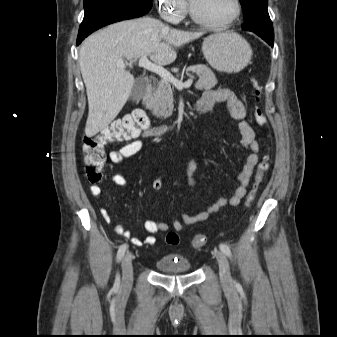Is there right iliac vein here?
Returning <instances> with one entry per match:
<instances>
[{"instance_id": "right-iliac-vein-1", "label": "right iliac vein", "mask_w": 337, "mask_h": 337, "mask_svg": "<svg viewBox=\"0 0 337 337\" xmlns=\"http://www.w3.org/2000/svg\"><path fill=\"white\" fill-rule=\"evenodd\" d=\"M132 253H127L122 260V284L120 289V295L125 297L129 294V291L132 286V275H133V268H132Z\"/></svg>"}]
</instances>
